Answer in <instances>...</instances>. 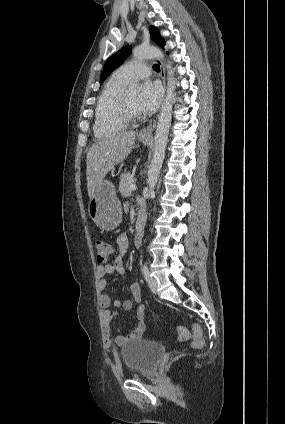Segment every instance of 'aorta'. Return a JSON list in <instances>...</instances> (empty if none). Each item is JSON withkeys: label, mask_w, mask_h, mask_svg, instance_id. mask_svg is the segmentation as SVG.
Returning <instances> with one entry per match:
<instances>
[{"label": "aorta", "mask_w": 285, "mask_h": 424, "mask_svg": "<svg viewBox=\"0 0 285 424\" xmlns=\"http://www.w3.org/2000/svg\"><path fill=\"white\" fill-rule=\"evenodd\" d=\"M132 53L135 60L153 58L163 60L164 58L163 53L158 48L153 46H138L133 49ZM166 68L168 70L167 94L158 116L153 159L149 167L147 179L151 194L154 193V188L157 184L158 176L162 168L173 111L175 83L171 65L167 64ZM128 91L129 93L135 94L139 91V86L137 84H131Z\"/></svg>", "instance_id": "obj_1"}]
</instances>
